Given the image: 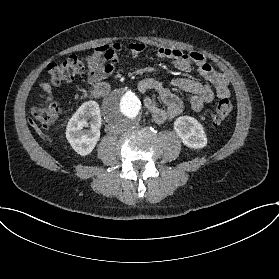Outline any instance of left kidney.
Here are the masks:
<instances>
[{"label": "left kidney", "mask_w": 279, "mask_h": 279, "mask_svg": "<svg viewBox=\"0 0 279 279\" xmlns=\"http://www.w3.org/2000/svg\"><path fill=\"white\" fill-rule=\"evenodd\" d=\"M174 130L183 144L189 148L199 149L207 145L204 128L194 117H178L174 122Z\"/></svg>", "instance_id": "left-kidney-1"}]
</instances>
